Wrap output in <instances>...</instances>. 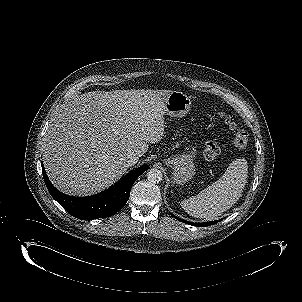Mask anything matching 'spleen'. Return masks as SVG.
I'll return each instance as SVG.
<instances>
[{
    "label": "spleen",
    "instance_id": "spleen-1",
    "mask_svg": "<svg viewBox=\"0 0 302 302\" xmlns=\"http://www.w3.org/2000/svg\"><path fill=\"white\" fill-rule=\"evenodd\" d=\"M248 173L244 159L232 161L216 182L198 195L181 201V207L195 218L214 220L230 209L242 195Z\"/></svg>",
    "mask_w": 302,
    "mask_h": 302
}]
</instances>
